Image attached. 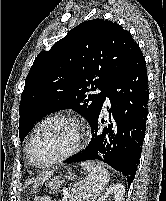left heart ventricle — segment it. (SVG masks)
Here are the masks:
<instances>
[{
  "mask_svg": "<svg viewBox=\"0 0 166 201\" xmlns=\"http://www.w3.org/2000/svg\"><path fill=\"white\" fill-rule=\"evenodd\" d=\"M77 137V129L71 123L54 121L44 125L32 145L34 163L41 165L68 152L76 144Z\"/></svg>",
  "mask_w": 166,
  "mask_h": 201,
  "instance_id": "1",
  "label": "left heart ventricle"
}]
</instances>
